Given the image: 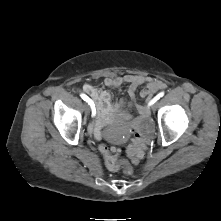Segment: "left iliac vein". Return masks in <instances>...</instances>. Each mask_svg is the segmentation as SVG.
I'll return each instance as SVG.
<instances>
[{"label":"left iliac vein","mask_w":221,"mask_h":221,"mask_svg":"<svg viewBox=\"0 0 221 221\" xmlns=\"http://www.w3.org/2000/svg\"><path fill=\"white\" fill-rule=\"evenodd\" d=\"M156 108H157V103L156 102H154L153 104H152V110H156ZM146 111H147V114H148V109H146Z\"/></svg>","instance_id":"4c4485c4"}]
</instances>
